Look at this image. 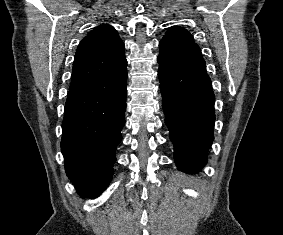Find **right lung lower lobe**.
I'll return each instance as SVG.
<instances>
[{
  "label": "right lung lower lobe",
  "mask_w": 283,
  "mask_h": 235,
  "mask_svg": "<svg viewBox=\"0 0 283 235\" xmlns=\"http://www.w3.org/2000/svg\"><path fill=\"white\" fill-rule=\"evenodd\" d=\"M126 80L124 70L68 92L61 149L67 176L83 197H97L111 181L125 123Z\"/></svg>",
  "instance_id": "98d812e1"
}]
</instances>
